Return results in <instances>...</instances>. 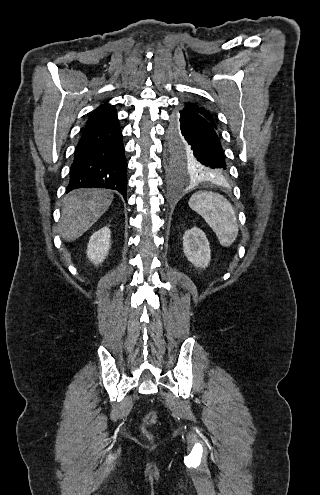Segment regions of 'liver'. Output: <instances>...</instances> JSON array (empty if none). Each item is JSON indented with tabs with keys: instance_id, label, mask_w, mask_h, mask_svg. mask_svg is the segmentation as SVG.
I'll return each mask as SVG.
<instances>
[{
	"instance_id": "6515ba94",
	"label": "liver",
	"mask_w": 320,
	"mask_h": 495,
	"mask_svg": "<svg viewBox=\"0 0 320 495\" xmlns=\"http://www.w3.org/2000/svg\"><path fill=\"white\" fill-rule=\"evenodd\" d=\"M114 195L105 189H76L64 200L60 234L66 241L82 236L105 213Z\"/></svg>"
}]
</instances>
